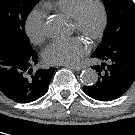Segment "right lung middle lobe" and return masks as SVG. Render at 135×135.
Returning <instances> with one entry per match:
<instances>
[{"label": "right lung middle lobe", "mask_w": 135, "mask_h": 135, "mask_svg": "<svg viewBox=\"0 0 135 135\" xmlns=\"http://www.w3.org/2000/svg\"><path fill=\"white\" fill-rule=\"evenodd\" d=\"M40 0H0V34H7L27 50L32 49L25 21Z\"/></svg>", "instance_id": "1"}]
</instances>
